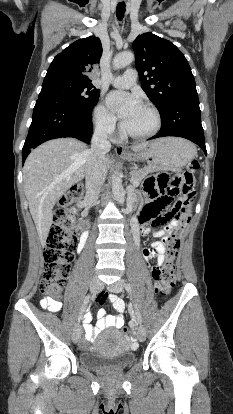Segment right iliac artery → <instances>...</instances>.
Here are the masks:
<instances>
[{"label": "right iliac artery", "mask_w": 233, "mask_h": 414, "mask_svg": "<svg viewBox=\"0 0 233 414\" xmlns=\"http://www.w3.org/2000/svg\"><path fill=\"white\" fill-rule=\"evenodd\" d=\"M89 300H90V295H87V296L85 297V299H84V303H83V306H82V310H81V313H80V315H79V317H78V322H80V320H81V318H82V314H83V312H84V310H85V308H86V306H87V304H88Z\"/></svg>", "instance_id": "obj_1"}]
</instances>
